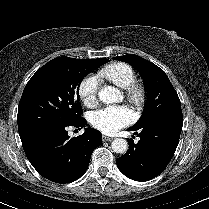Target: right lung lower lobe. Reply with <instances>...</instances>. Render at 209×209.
I'll use <instances>...</instances> for the list:
<instances>
[{
    "mask_svg": "<svg viewBox=\"0 0 209 209\" xmlns=\"http://www.w3.org/2000/svg\"><path fill=\"white\" fill-rule=\"evenodd\" d=\"M85 125L86 120L79 118L67 125L43 127L20 137L28 160L40 175L65 184L86 172L93 150L101 144V133L87 128L82 135L70 138L66 131L69 126Z\"/></svg>",
    "mask_w": 209,
    "mask_h": 209,
    "instance_id": "obj_1",
    "label": "right lung lower lobe"
}]
</instances>
